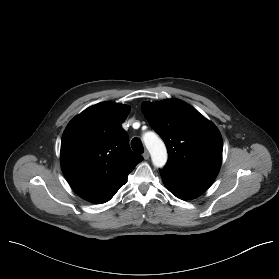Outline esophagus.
<instances>
[{
  "label": "esophagus",
  "mask_w": 279,
  "mask_h": 279,
  "mask_svg": "<svg viewBox=\"0 0 279 279\" xmlns=\"http://www.w3.org/2000/svg\"><path fill=\"white\" fill-rule=\"evenodd\" d=\"M149 157H150V154H149V152L146 150V151L143 153V158H144L145 160H148Z\"/></svg>",
  "instance_id": "obj_1"
}]
</instances>
